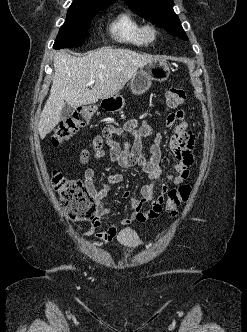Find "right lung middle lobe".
I'll return each mask as SVG.
<instances>
[{
	"label": "right lung middle lobe",
	"mask_w": 247,
	"mask_h": 332,
	"mask_svg": "<svg viewBox=\"0 0 247 332\" xmlns=\"http://www.w3.org/2000/svg\"><path fill=\"white\" fill-rule=\"evenodd\" d=\"M109 6L110 4L90 7L71 5L67 12L66 21L56 38L54 49L81 46L85 41L93 17Z\"/></svg>",
	"instance_id": "right-lung-middle-lobe-1"
}]
</instances>
